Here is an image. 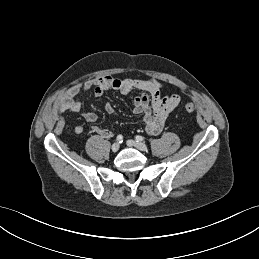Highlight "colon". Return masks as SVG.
Instances as JSON below:
<instances>
[{"label":"colon","mask_w":259,"mask_h":259,"mask_svg":"<svg viewBox=\"0 0 259 259\" xmlns=\"http://www.w3.org/2000/svg\"><path fill=\"white\" fill-rule=\"evenodd\" d=\"M184 110H185L186 112H188V113H191V112H193V111L195 110V106H194L193 103H186V104L184 105Z\"/></svg>","instance_id":"5ec220e1"}]
</instances>
